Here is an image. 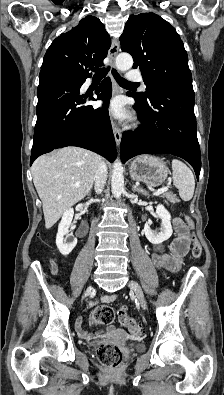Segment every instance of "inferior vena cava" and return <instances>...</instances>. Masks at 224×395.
Here are the masks:
<instances>
[{"mask_svg":"<svg viewBox=\"0 0 224 395\" xmlns=\"http://www.w3.org/2000/svg\"><path fill=\"white\" fill-rule=\"evenodd\" d=\"M107 166L103 160H100L95 174V191L100 194L103 191L107 180Z\"/></svg>","mask_w":224,"mask_h":395,"instance_id":"obj_1","label":"inferior vena cava"}]
</instances>
